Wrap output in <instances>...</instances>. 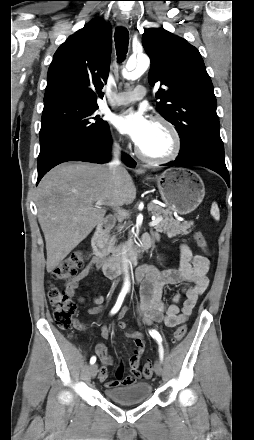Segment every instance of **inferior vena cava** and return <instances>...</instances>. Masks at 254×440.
Masks as SVG:
<instances>
[{
  "label": "inferior vena cava",
  "mask_w": 254,
  "mask_h": 440,
  "mask_svg": "<svg viewBox=\"0 0 254 440\" xmlns=\"http://www.w3.org/2000/svg\"><path fill=\"white\" fill-rule=\"evenodd\" d=\"M121 149L118 144H113L112 147V159L108 164L109 170L113 175L121 169Z\"/></svg>",
  "instance_id": "602c4592"
}]
</instances>
